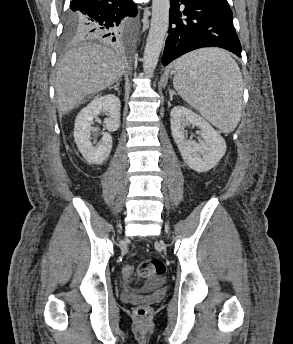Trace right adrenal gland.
Listing matches in <instances>:
<instances>
[{
  "instance_id": "1",
  "label": "right adrenal gland",
  "mask_w": 293,
  "mask_h": 344,
  "mask_svg": "<svg viewBox=\"0 0 293 344\" xmlns=\"http://www.w3.org/2000/svg\"><path fill=\"white\" fill-rule=\"evenodd\" d=\"M118 86H119V83H117L116 85H114L113 87H110L109 89H115L116 91H118L119 92V88H118Z\"/></svg>"
}]
</instances>
